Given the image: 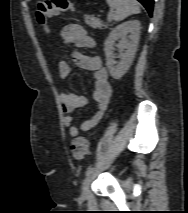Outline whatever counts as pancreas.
<instances>
[{"label": "pancreas", "mask_w": 188, "mask_h": 213, "mask_svg": "<svg viewBox=\"0 0 188 213\" xmlns=\"http://www.w3.org/2000/svg\"><path fill=\"white\" fill-rule=\"evenodd\" d=\"M85 23L95 29L96 28L103 29L108 27L107 25L103 24L102 21H100V19H97L94 16L88 15L85 16Z\"/></svg>", "instance_id": "obj_1"}]
</instances>
